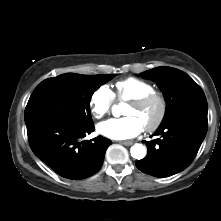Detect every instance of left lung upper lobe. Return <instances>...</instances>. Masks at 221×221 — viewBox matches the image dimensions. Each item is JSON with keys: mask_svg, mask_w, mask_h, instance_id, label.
<instances>
[{"mask_svg": "<svg viewBox=\"0 0 221 221\" xmlns=\"http://www.w3.org/2000/svg\"><path fill=\"white\" fill-rule=\"evenodd\" d=\"M140 76L156 82L164 93L167 106L162 123L184 110L207 106L201 87L183 71L161 66L143 72Z\"/></svg>", "mask_w": 221, "mask_h": 221, "instance_id": "1", "label": "left lung upper lobe"}]
</instances>
